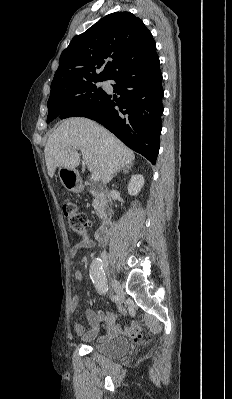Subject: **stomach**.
<instances>
[{"label": "stomach", "instance_id": "0dacf381", "mask_svg": "<svg viewBox=\"0 0 232 399\" xmlns=\"http://www.w3.org/2000/svg\"><path fill=\"white\" fill-rule=\"evenodd\" d=\"M58 176L66 190L69 192H80L82 184L77 170H67V168H59Z\"/></svg>", "mask_w": 232, "mask_h": 399}]
</instances>
